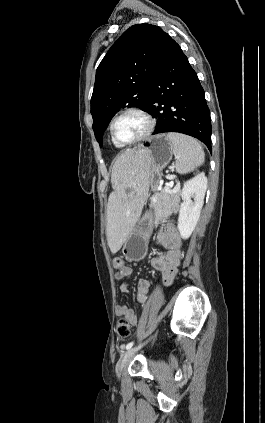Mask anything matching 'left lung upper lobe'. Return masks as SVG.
Masks as SVG:
<instances>
[{"label":"left lung upper lobe","mask_w":265,"mask_h":423,"mask_svg":"<svg viewBox=\"0 0 265 423\" xmlns=\"http://www.w3.org/2000/svg\"><path fill=\"white\" fill-rule=\"evenodd\" d=\"M166 35L155 25H133L114 43L99 64L91 98V114L100 146L104 131L120 108L140 105L143 111L148 109V91Z\"/></svg>","instance_id":"5c2ea615"}]
</instances>
